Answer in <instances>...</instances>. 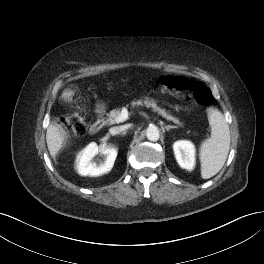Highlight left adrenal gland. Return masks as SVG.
<instances>
[{
	"mask_svg": "<svg viewBox=\"0 0 264 264\" xmlns=\"http://www.w3.org/2000/svg\"><path fill=\"white\" fill-rule=\"evenodd\" d=\"M177 128V126H172V125H165L166 131H169L170 129Z\"/></svg>",
	"mask_w": 264,
	"mask_h": 264,
	"instance_id": "a2214340",
	"label": "left adrenal gland"
}]
</instances>
